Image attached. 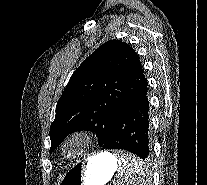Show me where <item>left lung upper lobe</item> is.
<instances>
[{
	"mask_svg": "<svg viewBox=\"0 0 207 185\" xmlns=\"http://www.w3.org/2000/svg\"><path fill=\"white\" fill-rule=\"evenodd\" d=\"M147 84L133 48L116 39L105 42L77 68L62 93L50 127V151L82 130L95 132L102 147L118 113Z\"/></svg>",
	"mask_w": 207,
	"mask_h": 185,
	"instance_id": "1",
	"label": "left lung upper lobe"
}]
</instances>
